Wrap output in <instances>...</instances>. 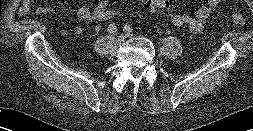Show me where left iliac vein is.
<instances>
[{
    "label": "left iliac vein",
    "mask_w": 253,
    "mask_h": 131,
    "mask_svg": "<svg viewBox=\"0 0 253 131\" xmlns=\"http://www.w3.org/2000/svg\"><path fill=\"white\" fill-rule=\"evenodd\" d=\"M125 35H126V37H131L132 33H126Z\"/></svg>",
    "instance_id": "4c4485c4"
}]
</instances>
